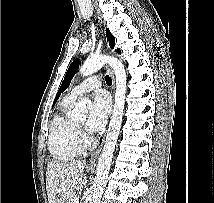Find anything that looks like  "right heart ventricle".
Returning <instances> with one entry per match:
<instances>
[{"label": "right heart ventricle", "instance_id": "obj_1", "mask_svg": "<svg viewBox=\"0 0 214 203\" xmlns=\"http://www.w3.org/2000/svg\"><path fill=\"white\" fill-rule=\"evenodd\" d=\"M74 102V99L66 96L49 127L48 149L53 159L59 162L72 160L82 151L77 141V125L68 117Z\"/></svg>", "mask_w": 214, "mask_h": 203}]
</instances>
